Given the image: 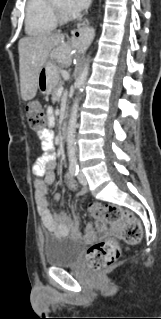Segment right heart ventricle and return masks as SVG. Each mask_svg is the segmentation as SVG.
I'll use <instances>...</instances> for the list:
<instances>
[{"label": "right heart ventricle", "instance_id": "right-heart-ventricle-1", "mask_svg": "<svg viewBox=\"0 0 161 319\" xmlns=\"http://www.w3.org/2000/svg\"><path fill=\"white\" fill-rule=\"evenodd\" d=\"M58 20L51 0H28L25 7V31L28 36L38 37L55 30Z\"/></svg>", "mask_w": 161, "mask_h": 319}]
</instances>
